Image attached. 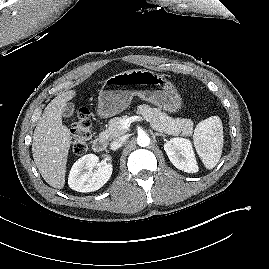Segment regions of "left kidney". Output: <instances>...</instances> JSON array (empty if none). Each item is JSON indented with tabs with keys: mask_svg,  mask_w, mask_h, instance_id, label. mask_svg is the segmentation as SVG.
<instances>
[{
	"mask_svg": "<svg viewBox=\"0 0 269 269\" xmlns=\"http://www.w3.org/2000/svg\"><path fill=\"white\" fill-rule=\"evenodd\" d=\"M164 150L177 169L188 173L198 171L192 144L188 139L173 138L164 144Z\"/></svg>",
	"mask_w": 269,
	"mask_h": 269,
	"instance_id": "obj_1",
	"label": "left kidney"
}]
</instances>
